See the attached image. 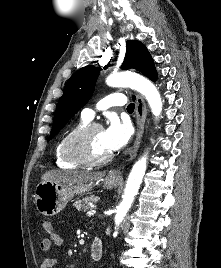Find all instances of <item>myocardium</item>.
Wrapping results in <instances>:
<instances>
[{
	"label": "myocardium",
	"mask_w": 221,
	"mask_h": 268,
	"mask_svg": "<svg viewBox=\"0 0 221 268\" xmlns=\"http://www.w3.org/2000/svg\"><path fill=\"white\" fill-rule=\"evenodd\" d=\"M97 129H102L101 125L87 123L71 133L63 144L64 157L70 162L82 166H97L110 161L112 153L103 157H95L87 149V139Z\"/></svg>",
	"instance_id": "myocardium-1"
}]
</instances>
